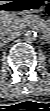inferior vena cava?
Here are the masks:
<instances>
[{"instance_id": "obj_1", "label": "inferior vena cava", "mask_w": 50, "mask_h": 111, "mask_svg": "<svg viewBox=\"0 0 50 111\" xmlns=\"http://www.w3.org/2000/svg\"><path fill=\"white\" fill-rule=\"evenodd\" d=\"M20 36V31H17V30H10V31H6V32H3L1 34V38L5 41H11L13 39H16L17 37Z\"/></svg>"}]
</instances>
